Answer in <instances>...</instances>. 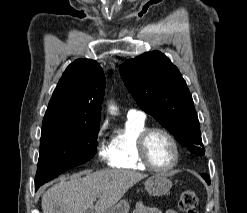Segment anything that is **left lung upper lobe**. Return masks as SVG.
I'll list each match as a JSON object with an SVG mask.
<instances>
[{
	"label": "left lung upper lobe",
	"instance_id": "5c2ea615",
	"mask_svg": "<svg viewBox=\"0 0 247 213\" xmlns=\"http://www.w3.org/2000/svg\"><path fill=\"white\" fill-rule=\"evenodd\" d=\"M119 70L138 106L152 115L191 154L204 155L192 96L169 58L152 51L124 62ZM206 182L210 184V179Z\"/></svg>",
	"mask_w": 247,
	"mask_h": 213
}]
</instances>
